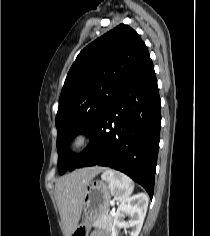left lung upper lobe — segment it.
Returning <instances> with one entry per match:
<instances>
[{
    "label": "left lung upper lobe",
    "instance_id": "1",
    "mask_svg": "<svg viewBox=\"0 0 210 236\" xmlns=\"http://www.w3.org/2000/svg\"><path fill=\"white\" fill-rule=\"evenodd\" d=\"M151 61L140 36L121 24L85 47L66 77L56 115L58 169L75 159L69 152L79 133L91 135L119 92Z\"/></svg>",
    "mask_w": 210,
    "mask_h": 236
}]
</instances>
